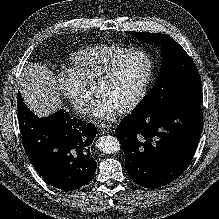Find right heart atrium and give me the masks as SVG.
<instances>
[{
  "label": "right heart atrium",
  "instance_id": "1",
  "mask_svg": "<svg viewBox=\"0 0 219 219\" xmlns=\"http://www.w3.org/2000/svg\"><path fill=\"white\" fill-rule=\"evenodd\" d=\"M55 84L77 113L83 115L89 111L93 97L85 92L82 80L71 69L60 72Z\"/></svg>",
  "mask_w": 219,
  "mask_h": 219
}]
</instances>
